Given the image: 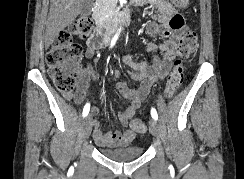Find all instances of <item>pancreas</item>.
Segmentation results:
<instances>
[{
    "label": "pancreas",
    "mask_w": 244,
    "mask_h": 179,
    "mask_svg": "<svg viewBox=\"0 0 244 179\" xmlns=\"http://www.w3.org/2000/svg\"><path fill=\"white\" fill-rule=\"evenodd\" d=\"M101 10H104L105 16H109L112 8L110 6V0H102V8Z\"/></svg>",
    "instance_id": "cf45deb5"
}]
</instances>
